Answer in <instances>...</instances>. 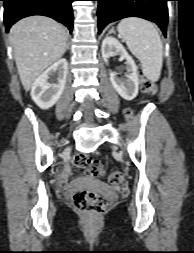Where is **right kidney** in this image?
Returning <instances> with one entry per match:
<instances>
[{
    "label": "right kidney",
    "mask_w": 194,
    "mask_h": 253,
    "mask_svg": "<svg viewBox=\"0 0 194 253\" xmlns=\"http://www.w3.org/2000/svg\"><path fill=\"white\" fill-rule=\"evenodd\" d=\"M68 73V63L62 58L51 65L42 73L31 87V97L41 109H49L61 97ZM57 76L56 82L50 83L49 79Z\"/></svg>",
    "instance_id": "obj_1"
}]
</instances>
